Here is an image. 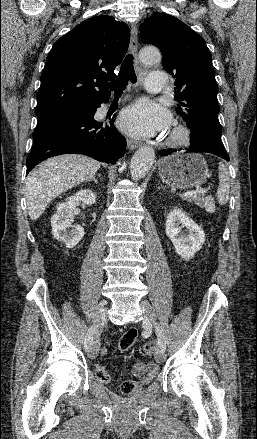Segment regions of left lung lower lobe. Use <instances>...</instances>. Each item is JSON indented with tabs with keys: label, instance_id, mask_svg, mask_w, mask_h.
<instances>
[{
	"label": "left lung lower lobe",
	"instance_id": "1",
	"mask_svg": "<svg viewBox=\"0 0 257 439\" xmlns=\"http://www.w3.org/2000/svg\"><path fill=\"white\" fill-rule=\"evenodd\" d=\"M185 150L189 151V152L210 153V154L216 155L218 157H221V158L229 161V156L224 148V145L219 144L218 142H216L215 140H213L209 137H206L200 143L191 142L190 147L186 148ZM176 151L177 150H175V149L162 150L160 152V155L167 156V155L172 154Z\"/></svg>",
	"mask_w": 257,
	"mask_h": 439
}]
</instances>
